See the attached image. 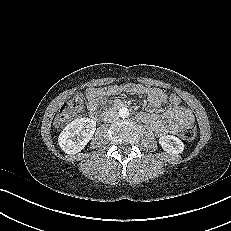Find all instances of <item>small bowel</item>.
I'll list each match as a JSON object with an SVG mask.
<instances>
[{"instance_id":"1","label":"small bowel","mask_w":231,"mask_h":231,"mask_svg":"<svg viewBox=\"0 0 231 231\" xmlns=\"http://www.w3.org/2000/svg\"><path fill=\"white\" fill-rule=\"evenodd\" d=\"M123 92H131L138 96H144L148 105L157 110L165 107L160 113L139 114L140 118L148 123L157 135L176 134L180 127L191 125L194 122V115L191 110L183 106H172L168 101L166 93L157 88L146 87L142 85H115L106 89L90 88L86 95L88 99V109L94 116L103 98Z\"/></svg>"}]
</instances>
